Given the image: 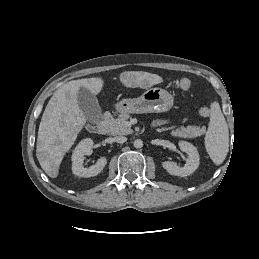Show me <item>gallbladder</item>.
I'll return each mask as SVG.
<instances>
[{"mask_svg": "<svg viewBox=\"0 0 259 259\" xmlns=\"http://www.w3.org/2000/svg\"><path fill=\"white\" fill-rule=\"evenodd\" d=\"M78 104L86 119L94 124H98L103 117L101 107L97 97L87 88L80 87L78 90Z\"/></svg>", "mask_w": 259, "mask_h": 259, "instance_id": "obj_1", "label": "gallbladder"}]
</instances>
